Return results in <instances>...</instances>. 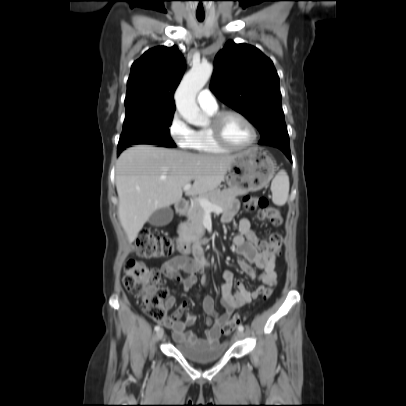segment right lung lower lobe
<instances>
[{"label":"right lung lower lobe","mask_w":406,"mask_h":406,"mask_svg":"<svg viewBox=\"0 0 406 406\" xmlns=\"http://www.w3.org/2000/svg\"><path fill=\"white\" fill-rule=\"evenodd\" d=\"M121 153V151L120 152H117V154L119 155Z\"/></svg>","instance_id":"98d812e1"}]
</instances>
